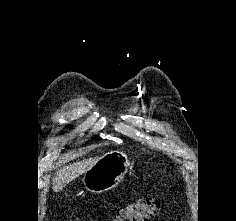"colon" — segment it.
Returning <instances> with one entry per match:
<instances>
[{
  "label": "colon",
  "mask_w": 236,
  "mask_h": 221,
  "mask_svg": "<svg viewBox=\"0 0 236 221\" xmlns=\"http://www.w3.org/2000/svg\"><path fill=\"white\" fill-rule=\"evenodd\" d=\"M167 201L161 197L138 199L124 206L113 221H149L163 211Z\"/></svg>",
  "instance_id": "5ec220e1"
}]
</instances>
